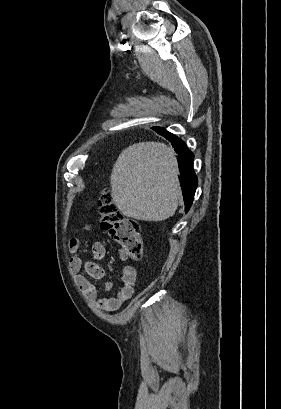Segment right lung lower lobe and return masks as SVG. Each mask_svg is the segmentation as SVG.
<instances>
[{
  "mask_svg": "<svg viewBox=\"0 0 281 409\" xmlns=\"http://www.w3.org/2000/svg\"><path fill=\"white\" fill-rule=\"evenodd\" d=\"M158 133L163 134L174 147V150L179 155V170L180 176L182 179V189H183V197L185 202V211L187 212L193 202L194 194L197 188V177L193 170V153L186 147L184 142L174 136L173 134L163 131V130H156Z\"/></svg>",
  "mask_w": 281,
  "mask_h": 409,
  "instance_id": "obj_1",
  "label": "right lung lower lobe"
}]
</instances>
